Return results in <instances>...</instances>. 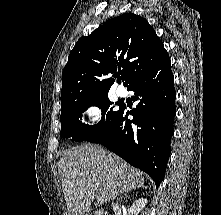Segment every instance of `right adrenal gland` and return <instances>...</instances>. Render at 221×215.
<instances>
[{
	"label": "right adrenal gland",
	"mask_w": 221,
	"mask_h": 215,
	"mask_svg": "<svg viewBox=\"0 0 221 215\" xmlns=\"http://www.w3.org/2000/svg\"><path fill=\"white\" fill-rule=\"evenodd\" d=\"M126 194V192L125 193H122L121 195H120V198H123V196Z\"/></svg>",
	"instance_id": "1"
}]
</instances>
